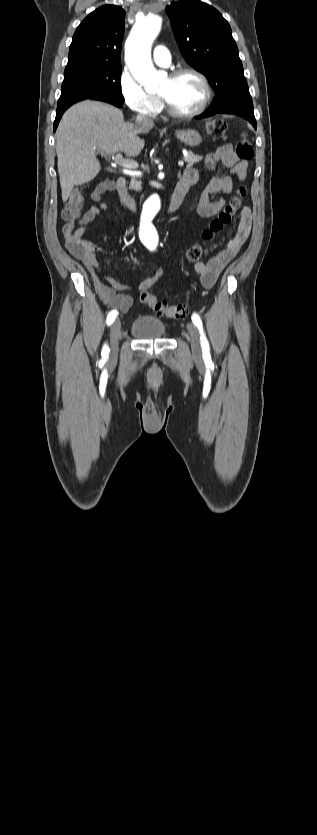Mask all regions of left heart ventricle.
<instances>
[{
    "label": "left heart ventricle",
    "mask_w": 317,
    "mask_h": 835,
    "mask_svg": "<svg viewBox=\"0 0 317 835\" xmlns=\"http://www.w3.org/2000/svg\"><path fill=\"white\" fill-rule=\"evenodd\" d=\"M159 94L163 95L177 111L190 112L202 100L203 88L195 76L187 74L175 79L167 77Z\"/></svg>",
    "instance_id": "obj_1"
}]
</instances>
